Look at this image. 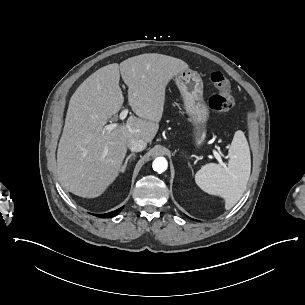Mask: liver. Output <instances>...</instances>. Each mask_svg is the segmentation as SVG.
<instances>
[{"label": "liver", "mask_w": 305, "mask_h": 305, "mask_svg": "<svg viewBox=\"0 0 305 305\" xmlns=\"http://www.w3.org/2000/svg\"><path fill=\"white\" fill-rule=\"evenodd\" d=\"M188 64L171 56L146 53L106 65L83 81L72 95L57 151V175L69 192L100 196L122 168L129 138L151 142L163 113L168 82ZM120 74L128 86V102L139 117L105 132L121 109Z\"/></svg>", "instance_id": "obj_1"}]
</instances>
